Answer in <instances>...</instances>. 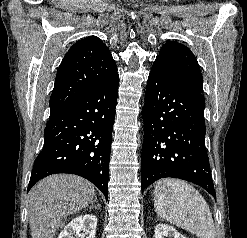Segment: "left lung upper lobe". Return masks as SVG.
<instances>
[{"label":"left lung upper lobe","mask_w":247,"mask_h":238,"mask_svg":"<svg viewBox=\"0 0 247 238\" xmlns=\"http://www.w3.org/2000/svg\"><path fill=\"white\" fill-rule=\"evenodd\" d=\"M153 65L161 66L175 78L203 92L198 62L186 46L174 41L165 43Z\"/></svg>","instance_id":"5c2ea615"}]
</instances>
